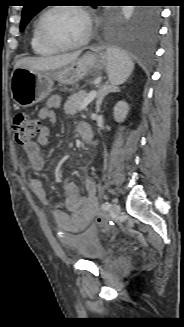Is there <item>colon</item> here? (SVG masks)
I'll return each mask as SVG.
<instances>
[{
	"mask_svg": "<svg viewBox=\"0 0 184 327\" xmlns=\"http://www.w3.org/2000/svg\"><path fill=\"white\" fill-rule=\"evenodd\" d=\"M12 127L15 141L22 146L32 143L41 128L39 120L23 112H19L14 116ZM96 220L100 224L105 223V218L101 214H97Z\"/></svg>",
	"mask_w": 184,
	"mask_h": 327,
	"instance_id": "1",
	"label": "colon"
}]
</instances>
